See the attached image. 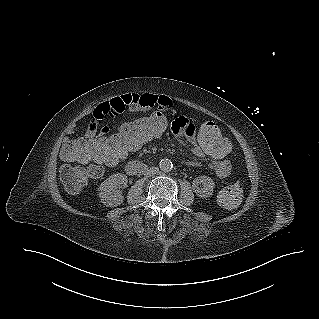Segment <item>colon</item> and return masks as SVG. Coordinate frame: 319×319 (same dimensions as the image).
<instances>
[{
  "instance_id": "obj_1",
  "label": "colon",
  "mask_w": 319,
  "mask_h": 319,
  "mask_svg": "<svg viewBox=\"0 0 319 319\" xmlns=\"http://www.w3.org/2000/svg\"><path fill=\"white\" fill-rule=\"evenodd\" d=\"M169 130L166 115L153 113L135 115L131 123L99 139L87 135L81 139L71 136L65 138L62 157L66 163L61 169V180L66 190L71 194L81 193L90 179L101 175V166H117L145 143L163 139ZM192 137L200 148L206 149L215 159L226 157L232 149L227 133L220 126L209 122L199 124ZM86 162H90L88 167L79 164ZM241 199L242 186L238 180L224 187L218 195L219 204L229 209L237 207Z\"/></svg>"
}]
</instances>
